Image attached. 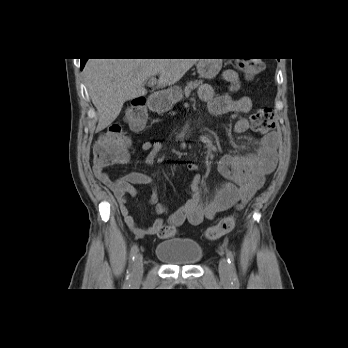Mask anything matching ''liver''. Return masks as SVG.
Here are the masks:
<instances>
[{
    "instance_id": "obj_1",
    "label": "liver",
    "mask_w": 348,
    "mask_h": 348,
    "mask_svg": "<svg viewBox=\"0 0 348 348\" xmlns=\"http://www.w3.org/2000/svg\"><path fill=\"white\" fill-rule=\"evenodd\" d=\"M199 59H89L84 67L90 98L97 109V132L108 127L123 104L147 94L145 82L158 75L157 88L177 83Z\"/></svg>"
}]
</instances>
